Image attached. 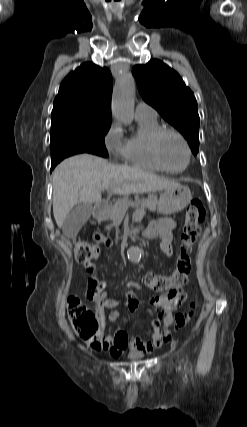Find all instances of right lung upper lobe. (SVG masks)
<instances>
[{"label": "right lung upper lobe", "instance_id": "right-lung-upper-lobe-1", "mask_svg": "<svg viewBox=\"0 0 247 427\" xmlns=\"http://www.w3.org/2000/svg\"><path fill=\"white\" fill-rule=\"evenodd\" d=\"M112 77L104 67L86 62L62 81L52 114L73 111L96 119L111 118Z\"/></svg>", "mask_w": 247, "mask_h": 427}]
</instances>
